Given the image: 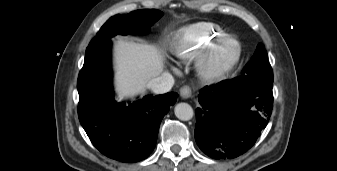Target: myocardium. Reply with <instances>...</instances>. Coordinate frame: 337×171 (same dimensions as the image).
I'll use <instances>...</instances> for the list:
<instances>
[{"label": "myocardium", "instance_id": "obj_1", "mask_svg": "<svg viewBox=\"0 0 337 171\" xmlns=\"http://www.w3.org/2000/svg\"><path fill=\"white\" fill-rule=\"evenodd\" d=\"M233 46V55L222 65L215 62L216 53L226 45ZM242 56V45L239 39L232 35L219 38L212 42L197 58V71L201 78L209 81L224 79L239 63Z\"/></svg>", "mask_w": 337, "mask_h": 171}]
</instances>
